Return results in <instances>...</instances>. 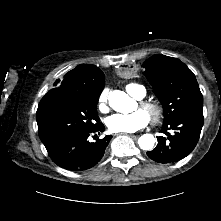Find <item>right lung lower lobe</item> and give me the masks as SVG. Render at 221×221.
Returning a JSON list of instances; mask_svg holds the SVG:
<instances>
[{
	"label": "right lung lower lobe",
	"mask_w": 221,
	"mask_h": 221,
	"mask_svg": "<svg viewBox=\"0 0 221 221\" xmlns=\"http://www.w3.org/2000/svg\"><path fill=\"white\" fill-rule=\"evenodd\" d=\"M104 129V125L99 123L93 130L74 138L48 154L58 166L64 169L87 170L101 160L112 136L98 138L95 142H90L88 137L91 133L103 132Z\"/></svg>",
	"instance_id": "right-lung-lower-lobe-1"
}]
</instances>
